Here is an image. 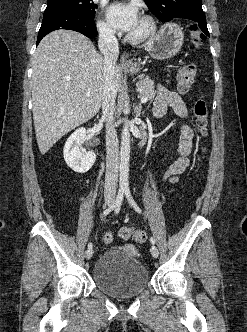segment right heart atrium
<instances>
[{
  "label": "right heart atrium",
  "instance_id": "right-heart-atrium-1",
  "mask_svg": "<svg viewBox=\"0 0 247 332\" xmlns=\"http://www.w3.org/2000/svg\"><path fill=\"white\" fill-rule=\"evenodd\" d=\"M97 29L102 41L106 43H112L115 41V31L105 20H98Z\"/></svg>",
  "mask_w": 247,
  "mask_h": 332
}]
</instances>
